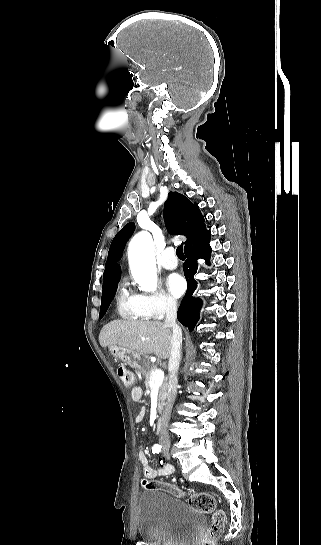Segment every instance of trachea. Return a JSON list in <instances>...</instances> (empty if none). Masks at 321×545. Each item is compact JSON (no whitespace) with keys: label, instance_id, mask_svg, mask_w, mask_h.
<instances>
[{"label":"trachea","instance_id":"1","mask_svg":"<svg viewBox=\"0 0 321 545\" xmlns=\"http://www.w3.org/2000/svg\"><path fill=\"white\" fill-rule=\"evenodd\" d=\"M176 254H177V257H178V258H181V259H184V258H185L184 252H183V245H180V246L176 249Z\"/></svg>","mask_w":321,"mask_h":545}]
</instances>
